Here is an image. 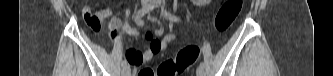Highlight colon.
Instances as JSON below:
<instances>
[{
	"instance_id": "colon-1",
	"label": "colon",
	"mask_w": 333,
	"mask_h": 76,
	"mask_svg": "<svg viewBox=\"0 0 333 76\" xmlns=\"http://www.w3.org/2000/svg\"><path fill=\"white\" fill-rule=\"evenodd\" d=\"M243 0H227L220 7L215 17V30L226 32L234 23L243 7ZM200 48L197 45H187L175 58L163 61L154 71L151 68L142 69L138 76H176L189 69L199 58Z\"/></svg>"
}]
</instances>
